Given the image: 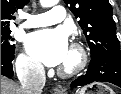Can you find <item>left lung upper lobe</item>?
<instances>
[{"label": "left lung upper lobe", "mask_w": 121, "mask_h": 94, "mask_svg": "<svg viewBox=\"0 0 121 94\" xmlns=\"http://www.w3.org/2000/svg\"><path fill=\"white\" fill-rule=\"evenodd\" d=\"M75 15L91 50V58L121 55L113 10L108 0H64Z\"/></svg>", "instance_id": "1"}]
</instances>
